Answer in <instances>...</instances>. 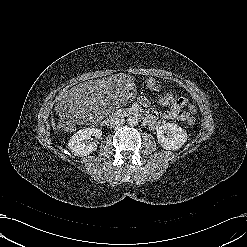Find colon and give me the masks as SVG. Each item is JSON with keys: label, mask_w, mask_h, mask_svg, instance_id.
<instances>
[{"label": "colon", "mask_w": 247, "mask_h": 247, "mask_svg": "<svg viewBox=\"0 0 247 247\" xmlns=\"http://www.w3.org/2000/svg\"><path fill=\"white\" fill-rule=\"evenodd\" d=\"M174 101V96L171 92L165 94H158L155 98L157 105L169 106ZM187 123L193 126L196 123V119L193 115L187 118ZM59 128L63 131H69L75 128V124L68 118H62L59 122Z\"/></svg>", "instance_id": "1"}]
</instances>
